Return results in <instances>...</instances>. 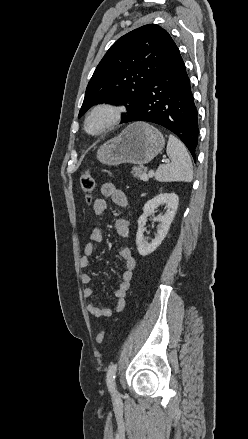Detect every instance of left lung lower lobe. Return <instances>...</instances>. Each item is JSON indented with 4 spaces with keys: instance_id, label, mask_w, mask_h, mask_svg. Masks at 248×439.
<instances>
[{
    "instance_id": "obj_1",
    "label": "left lung lower lobe",
    "mask_w": 248,
    "mask_h": 439,
    "mask_svg": "<svg viewBox=\"0 0 248 439\" xmlns=\"http://www.w3.org/2000/svg\"><path fill=\"white\" fill-rule=\"evenodd\" d=\"M133 121L152 122L172 131L196 159L198 113L178 47L150 82L136 110L123 123Z\"/></svg>"
}]
</instances>
